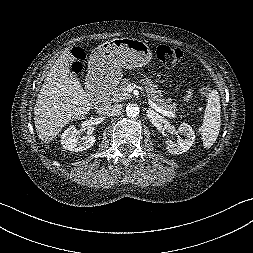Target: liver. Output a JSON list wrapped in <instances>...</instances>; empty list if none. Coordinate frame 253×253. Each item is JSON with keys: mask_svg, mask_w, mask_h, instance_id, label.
<instances>
[{"mask_svg": "<svg viewBox=\"0 0 253 253\" xmlns=\"http://www.w3.org/2000/svg\"><path fill=\"white\" fill-rule=\"evenodd\" d=\"M70 51L65 50L48 72L37 96L34 122L38 137L50 142L70 121L92 109L94 98L70 70Z\"/></svg>", "mask_w": 253, "mask_h": 253, "instance_id": "6515ba94", "label": "liver"}]
</instances>
